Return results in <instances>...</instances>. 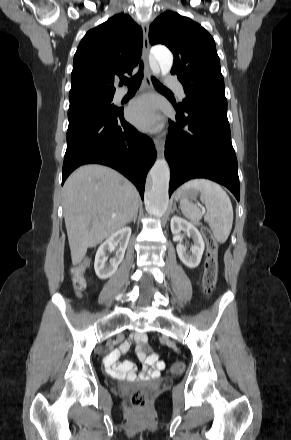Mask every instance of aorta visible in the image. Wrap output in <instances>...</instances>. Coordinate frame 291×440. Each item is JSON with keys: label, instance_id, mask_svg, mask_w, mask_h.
<instances>
[{"label": "aorta", "instance_id": "762f6f07", "mask_svg": "<svg viewBox=\"0 0 291 440\" xmlns=\"http://www.w3.org/2000/svg\"><path fill=\"white\" fill-rule=\"evenodd\" d=\"M152 54L157 61L162 75L170 72L173 65L172 53L163 46L152 48ZM170 169L165 158L156 160L149 173V181L145 191L146 211L154 216L161 217L168 207V189Z\"/></svg>", "mask_w": 291, "mask_h": 440}]
</instances>
